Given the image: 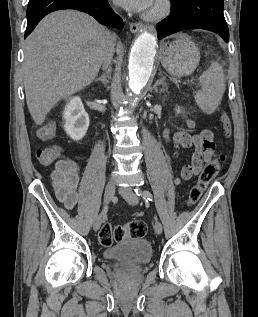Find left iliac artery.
Masks as SVG:
<instances>
[{
	"label": "left iliac artery",
	"mask_w": 258,
	"mask_h": 317,
	"mask_svg": "<svg viewBox=\"0 0 258 317\" xmlns=\"http://www.w3.org/2000/svg\"><path fill=\"white\" fill-rule=\"evenodd\" d=\"M134 192L137 196L142 197L143 199H146L148 201H153V195L149 190H141L140 187L136 186L134 188Z\"/></svg>",
	"instance_id": "obj_1"
}]
</instances>
